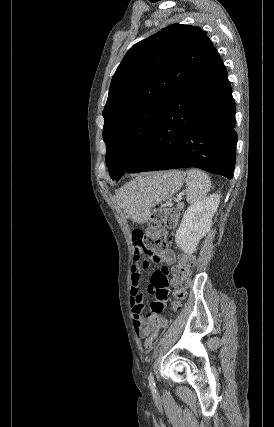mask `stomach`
I'll return each mask as SVG.
<instances>
[{
    "label": "stomach",
    "mask_w": 274,
    "mask_h": 427,
    "mask_svg": "<svg viewBox=\"0 0 274 427\" xmlns=\"http://www.w3.org/2000/svg\"><path fill=\"white\" fill-rule=\"evenodd\" d=\"M184 180L183 172L172 170L162 174H143L134 182H129L121 190V200L127 215L134 221L143 223L148 219L149 210L162 200H169L174 196Z\"/></svg>",
    "instance_id": "1"
}]
</instances>
